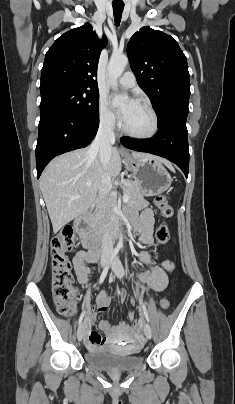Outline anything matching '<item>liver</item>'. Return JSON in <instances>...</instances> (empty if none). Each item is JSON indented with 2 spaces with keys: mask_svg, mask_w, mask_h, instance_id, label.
<instances>
[{
  "mask_svg": "<svg viewBox=\"0 0 235 404\" xmlns=\"http://www.w3.org/2000/svg\"><path fill=\"white\" fill-rule=\"evenodd\" d=\"M144 156L149 154L132 152L134 158ZM158 159L170 166L167 160ZM121 167V157L116 148H112L107 169L103 167L98 151L90 152V147L54 158L39 182L53 232L57 233L64 225L86 212L100 192L104 175L109 174L112 181L120 174ZM87 182L91 185H86Z\"/></svg>",
  "mask_w": 235,
  "mask_h": 404,
  "instance_id": "obj_1",
  "label": "liver"
}]
</instances>
